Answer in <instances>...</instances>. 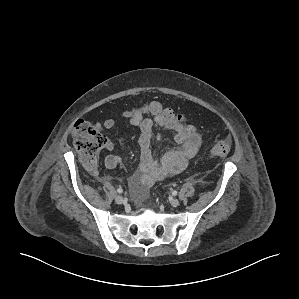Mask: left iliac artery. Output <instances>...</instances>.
Instances as JSON below:
<instances>
[{
    "instance_id": "1",
    "label": "left iliac artery",
    "mask_w": 299,
    "mask_h": 299,
    "mask_svg": "<svg viewBox=\"0 0 299 299\" xmlns=\"http://www.w3.org/2000/svg\"><path fill=\"white\" fill-rule=\"evenodd\" d=\"M177 193H178V192H177L176 190H174V191L172 192V195L176 196Z\"/></svg>"
}]
</instances>
